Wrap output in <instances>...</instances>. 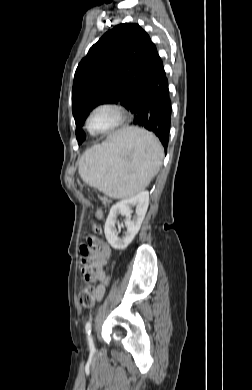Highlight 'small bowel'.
<instances>
[{"label":"small bowel","instance_id":"c3829d8e","mask_svg":"<svg viewBox=\"0 0 252 390\" xmlns=\"http://www.w3.org/2000/svg\"><path fill=\"white\" fill-rule=\"evenodd\" d=\"M82 260L87 262L86 268L90 271L88 280L96 282V301L100 302L104 296L109 277L105 267L110 259V248L107 244L94 236L87 238L86 243L80 245Z\"/></svg>","mask_w":252,"mask_h":390}]
</instances>
